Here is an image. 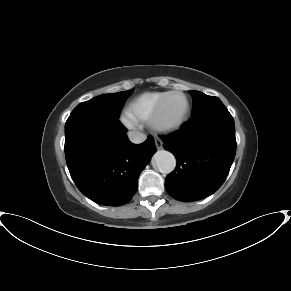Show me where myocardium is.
Masks as SVG:
<instances>
[{"label":"myocardium","instance_id":"myocardium-1","mask_svg":"<svg viewBox=\"0 0 291 291\" xmlns=\"http://www.w3.org/2000/svg\"><path fill=\"white\" fill-rule=\"evenodd\" d=\"M174 95H182L186 99V113L184 118L179 123L174 125H165L161 122L162 112L168 99ZM191 111H192L191 102L187 94L180 91H171L167 93L157 104L156 108L154 109L149 119V125L153 130L159 133L177 132L187 124L191 116Z\"/></svg>","mask_w":291,"mask_h":291}]
</instances>
